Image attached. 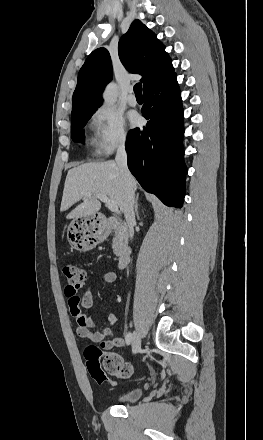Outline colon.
I'll return each instance as SVG.
<instances>
[{
  "mask_svg": "<svg viewBox=\"0 0 263 440\" xmlns=\"http://www.w3.org/2000/svg\"><path fill=\"white\" fill-rule=\"evenodd\" d=\"M63 274L68 286L78 288L85 280V271L80 266L66 264L63 267ZM87 370L92 379L98 384L109 381L107 374L117 378L125 379L133 374V367L116 353L103 354L94 346H88L84 352Z\"/></svg>",
  "mask_w": 263,
  "mask_h": 440,
  "instance_id": "1",
  "label": "colon"
}]
</instances>
